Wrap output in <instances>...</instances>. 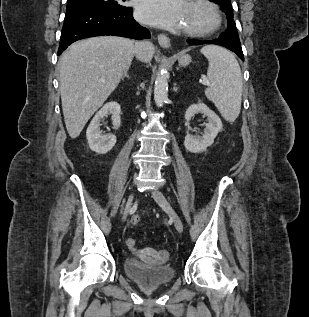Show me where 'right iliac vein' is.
Listing matches in <instances>:
<instances>
[{
	"label": "right iliac vein",
	"instance_id": "right-iliac-vein-1",
	"mask_svg": "<svg viewBox=\"0 0 309 317\" xmlns=\"http://www.w3.org/2000/svg\"><path fill=\"white\" fill-rule=\"evenodd\" d=\"M133 199H134V194L132 193V194H130V196L128 197V200L126 202L125 210H124L123 217H122L123 222L128 217L129 211H130L132 204H133Z\"/></svg>",
	"mask_w": 309,
	"mask_h": 317
}]
</instances>
